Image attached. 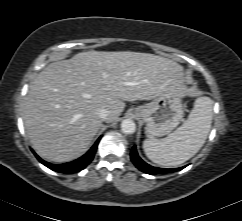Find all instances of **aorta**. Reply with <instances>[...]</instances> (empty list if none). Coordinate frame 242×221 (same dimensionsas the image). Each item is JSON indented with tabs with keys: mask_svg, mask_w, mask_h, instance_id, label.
Listing matches in <instances>:
<instances>
[{
	"mask_svg": "<svg viewBox=\"0 0 242 221\" xmlns=\"http://www.w3.org/2000/svg\"><path fill=\"white\" fill-rule=\"evenodd\" d=\"M121 131L124 134L131 135L136 131V124L131 119H125L121 123Z\"/></svg>",
	"mask_w": 242,
	"mask_h": 221,
	"instance_id": "1",
	"label": "aorta"
}]
</instances>
